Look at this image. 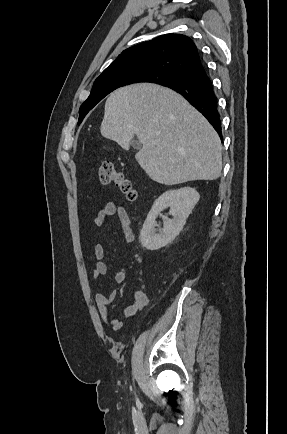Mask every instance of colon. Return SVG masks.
Segmentation results:
<instances>
[{
	"mask_svg": "<svg viewBox=\"0 0 287 434\" xmlns=\"http://www.w3.org/2000/svg\"><path fill=\"white\" fill-rule=\"evenodd\" d=\"M98 174L101 183L117 187L128 200L133 201L137 198V191L132 181L123 172L117 170L112 162H103L99 166Z\"/></svg>",
	"mask_w": 287,
	"mask_h": 434,
	"instance_id": "1",
	"label": "colon"
}]
</instances>
